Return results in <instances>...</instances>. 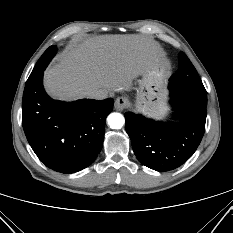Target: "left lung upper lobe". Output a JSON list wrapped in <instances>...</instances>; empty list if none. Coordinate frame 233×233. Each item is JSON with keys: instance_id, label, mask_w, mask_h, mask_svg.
<instances>
[{"instance_id": "5c2ea615", "label": "left lung upper lobe", "mask_w": 233, "mask_h": 233, "mask_svg": "<svg viewBox=\"0 0 233 233\" xmlns=\"http://www.w3.org/2000/svg\"><path fill=\"white\" fill-rule=\"evenodd\" d=\"M170 80L184 87L205 90L196 69L187 56L179 55V69Z\"/></svg>"}]
</instances>
